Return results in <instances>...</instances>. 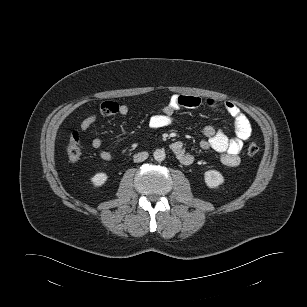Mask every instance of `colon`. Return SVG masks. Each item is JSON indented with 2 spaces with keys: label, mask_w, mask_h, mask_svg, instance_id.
I'll return each instance as SVG.
<instances>
[{
  "label": "colon",
  "mask_w": 307,
  "mask_h": 307,
  "mask_svg": "<svg viewBox=\"0 0 307 307\" xmlns=\"http://www.w3.org/2000/svg\"><path fill=\"white\" fill-rule=\"evenodd\" d=\"M259 152V146L256 143H251L247 147V153L250 156H254ZM66 154L71 161H76L81 155L80 138L78 133H73L70 137L67 146Z\"/></svg>",
  "instance_id": "5ec220e1"
}]
</instances>
